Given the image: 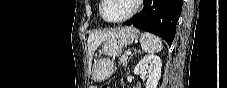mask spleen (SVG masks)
Listing matches in <instances>:
<instances>
[{"instance_id":"spleen-1","label":"spleen","mask_w":227,"mask_h":88,"mask_svg":"<svg viewBox=\"0 0 227 88\" xmlns=\"http://www.w3.org/2000/svg\"><path fill=\"white\" fill-rule=\"evenodd\" d=\"M141 48L146 53H158L162 50V41L156 35L144 32L140 38Z\"/></svg>"}]
</instances>
